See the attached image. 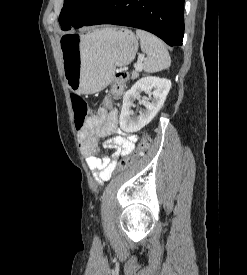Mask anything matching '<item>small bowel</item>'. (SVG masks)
I'll use <instances>...</instances> for the list:
<instances>
[{
    "label": "small bowel",
    "instance_id": "1",
    "mask_svg": "<svg viewBox=\"0 0 247 275\" xmlns=\"http://www.w3.org/2000/svg\"><path fill=\"white\" fill-rule=\"evenodd\" d=\"M99 137L107 138L104 146L113 151L111 156H101ZM79 140L88 167L93 172L95 180L102 184L110 178L118 160L134 150L138 136L125 134L119 128L116 109L108 112L104 108H99L89 117L85 128L79 134Z\"/></svg>",
    "mask_w": 247,
    "mask_h": 275
}]
</instances>
